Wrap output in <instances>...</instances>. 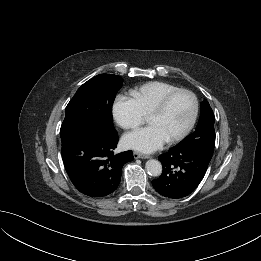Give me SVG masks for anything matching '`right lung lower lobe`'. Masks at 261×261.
<instances>
[{"label":"right lung lower lobe","mask_w":261,"mask_h":261,"mask_svg":"<svg viewBox=\"0 0 261 261\" xmlns=\"http://www.w3.org/2000/svg\"><path fill=\"white\" fill-rule=\"evenodd\" d=\"M115 131H83L62 141V159L74 186L90 197L114 192L125 163L134 160L132 151L113 154L118 144Z\"/></svg>","instance_id":"right-lung-lower-lobe-1"}]
</instances>
